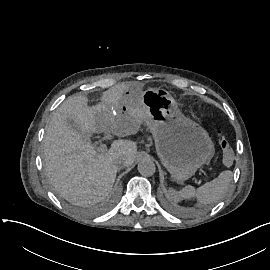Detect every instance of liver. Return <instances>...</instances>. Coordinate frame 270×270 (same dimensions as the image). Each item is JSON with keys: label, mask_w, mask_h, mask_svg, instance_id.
Instances as JSON below:
<instances>
[{"label": "liver", "mask_w": 270, "mask_h": 270, "mask_svg": "<svg viewBox=\"0 0 270 270\" xmlns=\"http://www.w3.org/2000/svg\"><path fill=\"white\" fill-rule=\"evenodd\" d=\"M141 98L139 88L120 83L104 91L98 105H89L87 96L73 95L58 108L47 128L43 154L51 184L68 201L78 205L100 201L112 189L119 166L135 161L136 142L118 139L105 154H98L89 137L106 130L118 137L135 135L147 115ZM122 107L127 112L122 113Z\"/></svg>", "instance_id": "liver-1"}]
</instances>
